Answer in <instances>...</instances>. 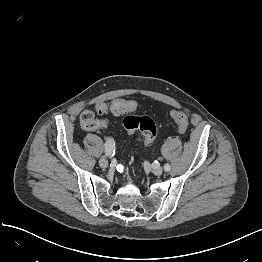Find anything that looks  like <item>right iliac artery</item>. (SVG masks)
Wrapping results in <instances>:
<instances>
[{"label":"right iliac artery","mask_w":262,"mask_h":262,"mask_svg":"<svg viewBox=\"0 0 262 262\" xmlns=\"http://www.w3.org/2000/svg\"><path fill=\"white\" fill-rule=\"evenodd\" d=\"M105 154L109 157H113L115 155V141L112 138H107L104 144Z\"/></svg>","instance_id":"right-iliac-artery-1"}]
</instances>
